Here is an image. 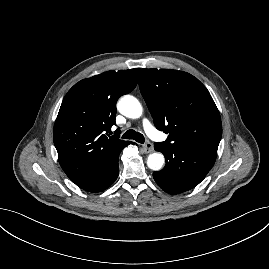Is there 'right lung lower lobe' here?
<instances>
[{"label":"right lung lower lobe","mask_w":269,"mask_h":269,"mask_svg":"<svg viewBox=\"0 0 269 269\" xmlns=\"http://www.w3.org/2000/svg\"><path fill=\"white\" fill-rule=\"evenodd\" d=\"M121 152V151H120ZM118 152L105 162L98 170L83 181L76 183L80 188L89 192H101L115 182L119 174Z\"/></svg>","instance_id":"98d812e1"}]
</instances>
